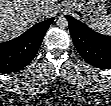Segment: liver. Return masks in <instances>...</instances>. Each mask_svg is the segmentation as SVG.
I'll return each instance as SVG.
<instances>
[{"instance_id": "6515ba94", "label": "liver", "mask_w": 111, "mask_h": 106, "mask_svg": "<svg viewBox=\"0 0 111 106\" xmlns=\"http://www.w3.org/2000/svg\"><path fill=\"white\" fill-rule=\"evenodd\" d=\"M54 0H1L0 40L7 41L49 16Z\"/></svg>"}]
</instances>
